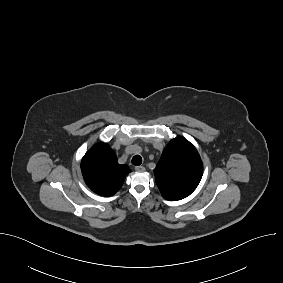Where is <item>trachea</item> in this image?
Returning <instances> with one entry per match:
<instances>
[{"mask_svg": "<svg viewBox=\"0 0 283 283\" xmlns=\"http://www.w3.org/2000/svg\"><path fill=\"white\" fill-rule=\"evenodd\" d=\"M132 164L135 165V166H139L142 164V158L140 155H135L133 158H132Z\"/></svg>", "mask_w": 283, "mask_h": 283, "instance_id": "1", "label": "trachea"}]
</instances>
